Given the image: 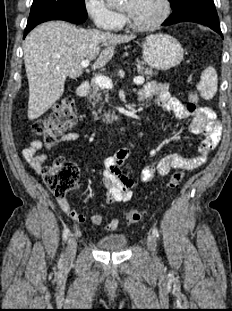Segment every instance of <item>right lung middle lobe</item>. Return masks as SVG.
Instances as JSON below:
<instances>
[{"label": "right lung middle lobe", "mask_w": 232, "mask_h": 311, "mask_svg": "<svg viewBox=\"0 0 232 311\" xmlns=\"http://www.w3.org/2000/svg\"><path fill=\"white\" fill-rule=\"evenodd\" d=\"M46 10H65L87 18L85 0H33L30 15Z\"/></svg>", "instance_id": "right-lung-middle-lobe-1"}]
</instances>
